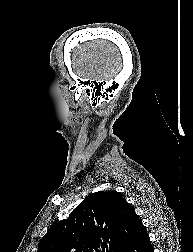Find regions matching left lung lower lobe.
<instances>
[{
    "mask_svg": "<svg viewBox=\"0 0 193 252\" xmlns=\"http://www.w3.org/2000/svg\"><path fill=\"white\" fill-rule=\"evenodd\" d=\"M124 252H154L148 233L142 222L136 226Z\"/></svg>",
    "mask_w": 193,
    "mask_h": 252,
    "instance_id": "left-lung-lower-lobe-1",
    "label": "left lung lower lobe"
}]
</instances>
